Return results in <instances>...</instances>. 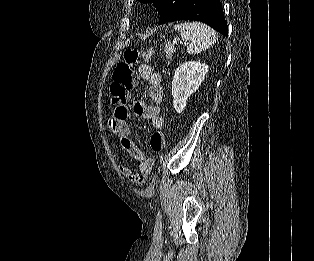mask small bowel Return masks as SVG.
Instances as JSON below:
<instances>
[{"label":"small bowel","instance_id":"c3829d8e","mask_svg":"<svg viewBox=\"0 0 314 261\" xmlns=\"http://www.w3.org/2000/svg\"><path fill=\"white\" fill-rule=\"evenodd\" d=\"M139 77L148 81V95L151 103L142 100L135 101L133 111L136 116L148 119L154 130L164 127V119L159 115V105L164 100L162 77L153 71L151 66L142 64L138 68ZM131 112L126 104L113 106L108 126L113 135L119 140L123 151L135 159L139 165L134 170L127 165H119L121 174L132 184L143 185L151 174L155 160L147 156L131 137L128 120Z\"/></svg>","mask_w":314,"mask_h":261}]
</instances>
